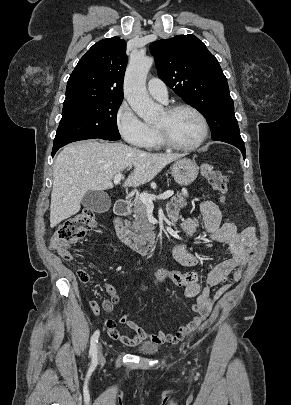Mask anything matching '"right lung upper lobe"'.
Returning a JSON list of instances; mask_svg holds the SVG:
<instances>
[{"mask_svg": "<svg viewBox=\"0 0 291 405\" xmlns=\"http://www.w3.org/2000/svg\"><path fill=\"white\" fill-rule=\"evenodd\" d=\"M126 64L125 40L112 37L95 43L70 75L64 103L123 99Z\"/></svg>", "mask_w": 291, "mask_h": 405, "instance_id": "cb5924a9", "label": "right lung upper lobe"}]
</instances>
